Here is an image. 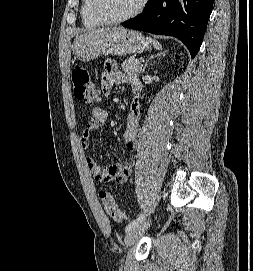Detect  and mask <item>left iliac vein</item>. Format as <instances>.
<instances>
[{
	"instance_id": "obj_1",
	"label": "left iliac vein",
	"mask_w": 253,
	"mask_h": 271,
	"mask_svg": "<svg viewBox=\"0 0 253 271\" xmlns=\"http://www.w3.org/2000/svg\"><path fill=\"white\" fill-rule=\"evenodd\" d=\"M148 226L149 222H141L135 227H133L131 230H129L125 236L126 246L130 247L134 245L148 229Z\"/></svg>"
}]
</instances>
